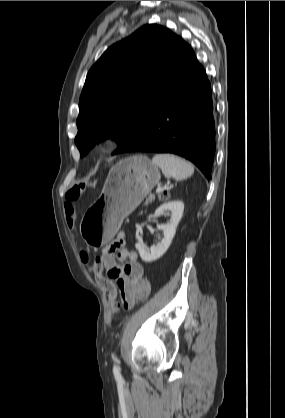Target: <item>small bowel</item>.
<instances>
[{
    "label": "small bowel",
    "mask_w": 285,
    "mask_h": 418,
    "mask_svg": "<svg viewBox=\"0 0 285 418\" xmlns=\"http://www.w3.org/2000/svg\"><path fill=\"white\" fill-rule=\"evenodd\" d=\"M124 233L120 232L115 240L101 251V260L111 278L115 280V288L119 290L122 301H135L145 299L151 292V285L145 275L143 266L138 261L136 251H127L116 247V243L122 245ZM115 253L119 261L128 260L129 263L119 265L116 262Z\"/></svg>",
    "instance_id": "small-bowel-1"
}]
</instances>
